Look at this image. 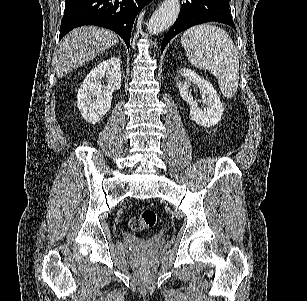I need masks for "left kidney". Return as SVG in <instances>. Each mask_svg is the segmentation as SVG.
Listing matches in <instances>:
<instances>
[{
    "mask_svg": "<svg viewBox=\"0 0 307 301\" xmlns=\"http://www.w3.org/2000/svg\"><path fill=\"white\" fill-rule=\"evenodd\" d=\"M176 82L183 100H186L190 106L189 114L192 120H195L200 126H214L221 120L224 106L211 82L199 76L191 68H180ZM193 84L198 86L201 92L200 102H203V106H198L197 100H194L192 96L190 86Z\"/></svg>",
    "mask_w": 307,
    "mask_h": 301,
    "instance_id": "obj_1",
    "label": "left kidney"
}]
</instances>
